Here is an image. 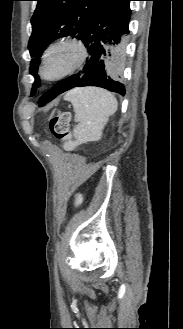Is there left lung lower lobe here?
<instances>
[{"instance_id": "obj_1", "label": "left lung lower lobe", "mask_w": 183, "mask_h": 329, "mask_svg": "<svg viewBox=\"0 0 183 329\" xmlns=\"http://www.w3.org/2000/svg\"><path fill=\"white\" fill-rule=\"evenodd\" d=\"M130 1L133 0H113L97 14L82 39L89 52L85 66L42 95L41 106L74 87L97 86L125 94L124 85L116 75L119 72L121 38L128 33Z\"/></svg>"}]
</instances>
